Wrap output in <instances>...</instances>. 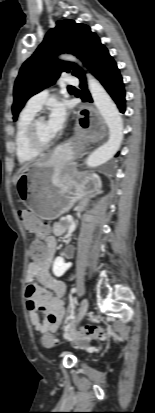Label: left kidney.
<instances>
[{
  "mask_svg": "<svg viewBox=\"0 0 155 413\" xmlns=\"http://www.w3.org/2000/svg\"><path fill=\"white\" fill-rule=\"evenodd\" d=\"M71 265H72L71 263H65L63 258L57 257L54 260L53 266H52L53 274L57 277H60L71 267Z\"/></svg>",
  "mask_w": 155,
  "mask_h": 413,
  "instance_id": "obj_1",
  "label": "left kidney"
}]
</instances>
